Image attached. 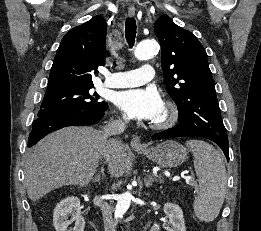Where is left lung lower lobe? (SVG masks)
I'll list each match as a JSON object with an SVG mask.
<instances>
[{"mask_svg":"<svg viewBox=\"0 0 261 231\" xmlns=\"http://www.w3.org/2000/svg\"><path fill=\"white\" fill-rule=\"evenodd\" d=\"M187 136L204 137L214 141L216 144L220 146V148L223 150L227 158V161H229L228 139L211 138L187 123H179L173 128H170L160 133H156L152 136V139L159 140V139L187 137Z\"/></svg>","mask_w":261,"mask_h":231,"instance_id":"1","label":"left lung lower lobe"}]
</instances>
